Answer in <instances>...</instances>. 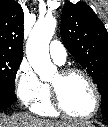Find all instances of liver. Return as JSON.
Instances as JSON below:
<instances>
[{"label":"liver","mask_w":108,"mask_h":127,"mask_svg":"<svg viewBox=\"0 0 108 127\" xmlns=\"http://www.w3.org/2000/svg\"><path fill=\"white\" fill-rule=\"evenodd\" d=\"M90 125L89 122L42 119L25 113H15L11 116L0 114V127H87Z\"/></svg>","instance_id":"1"}]
</instances>
